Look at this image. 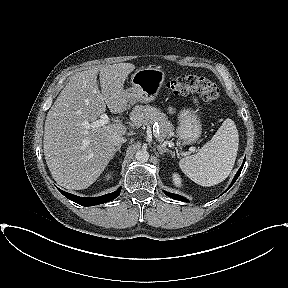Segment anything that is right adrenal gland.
<instances>
[{"label": "right adrenal gland", "instance_id": "obj_1", "mask_svg": "<svg viewBox=\"0 0 288 288\" xmlns=\"http://www.w3.org/2000/svg\"><path fill=\"white\" fill-rule=\"evenodd\" d=\"M116 152L121 153V144L118 145L117 148L115 149V153H116Z\"/></svg>", "mask_w": 288, "mask_h": 288}]
</instances>
